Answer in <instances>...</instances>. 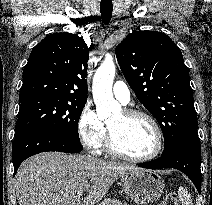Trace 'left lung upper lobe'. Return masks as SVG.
I'll use <instances>...</instances> for the list:
<instances>
[{"label":"left lung upper lobe","mask_w":212,"mask_h":205,"mask_svg":"<svg viewBox=\"0 0 212 205\" xmlns=\"http://www.w3.org/2000/svg\"><path fill=\"white\" fill-rule=\"evenodd\" d=\"M116 57L128 84L158 120L169 153L197 129L189 72L176 44L164 33L135 31L117 47Z\"/></svg>","instance_id":"obj_1"}]
</instances>
